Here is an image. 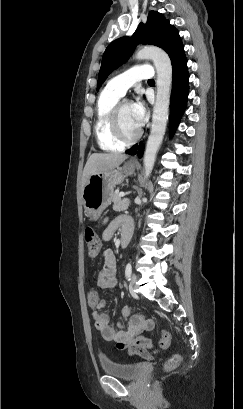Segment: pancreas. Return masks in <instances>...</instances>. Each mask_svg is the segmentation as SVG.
Returning a JSON list of instances; mask_svg holds the SVG:
<instances>
[{
    "instance_id": "obj_1",
    "label": "pancreas",
    "mask_w": 243,
    "mask_h": 409,
    "mask_svg": "<svg viewBox=\"0 0 243 409\" xmlns=\"http://www.w3.org/2000/svg\"><path fill=\"white\" fill-rule=\"evenodd\" d=\"M112 201L114 211L126 210L130 203L128 199H122L118 192L113 193Z\"/></svg>"
}]
</instances>
